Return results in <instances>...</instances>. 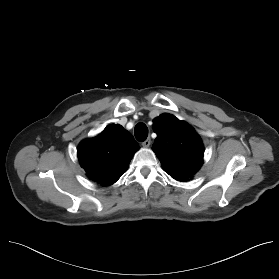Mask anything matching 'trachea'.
Here are the masks:
<instances>
[{"label":"trachea","instance_id":"1","mask_svg":"<svg viewBox=\"0 0 279 279\" xmlns=\"http://www.w3.org/2000/svg\"><path fill=\"white\" fill-rule=\"evenodd\" d=\"M134 134L138 141H145L148 136L147 126L144 123H138L135 127Z\"/></svg>","mask_w":279,"mask_h":279}]
</instances>
